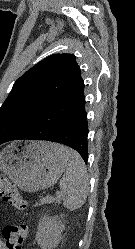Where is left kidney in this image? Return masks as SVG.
<instances>
[{"instance_id": "left-kidney-1", "label": "left kidney", "mask_w": 135, "mask_h": 249, "mask_svg": "<svg viewBox=\"0 0 135 249\" xmlns=\"http://www.w3.org/2000/svg\"><path fill=\"white\" fill-rule=\"evenodd\" d=\"M35 240L41 249H54L58 246L65 225L56 217L45 215L40 218Z\"/></svg>"}]
</instances>
